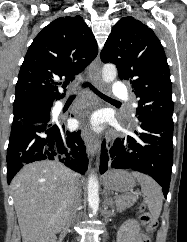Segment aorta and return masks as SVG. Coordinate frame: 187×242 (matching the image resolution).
<instances>
[{"mask_svg":"<svg viewBox=\"0 0 187 242\" xmlns=\"http://www.w3.org/2000/svg\"><path fill=\"white\" fill-rule=\"evenodd\" d=\"M117 69L113 64H105L102 68V78L106 83L114 81ZM88 201L93 215H96L99 207V183L97 176L91 174L88 179Z\"/></svg>","mask_w":187,"mask_h":242,"instance_id":"1","label":"aorta"}]
</instances>
